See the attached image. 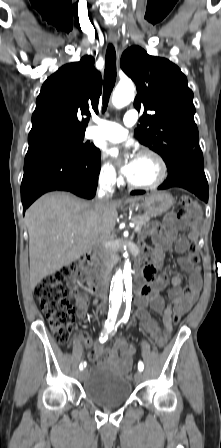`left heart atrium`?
<instances>
[{"mask_svg":"<svg viewBox=\"0 0 221 448\" xmlns=\"http://www.w3.org/2000/svg\"><path fill=\"white\" fill-rule=\"evenodd\" d=\"M106 155L112 158L113 160H118L121 156L122 149L119 146H110L106 149ZM138 156H132L128 161L121 164V171L127 177H131L137 168Z\"/></svg>","mask_w":221,"mask_h":448,"instance_id":"1","label":"left heart atrium"}]
</instances>
